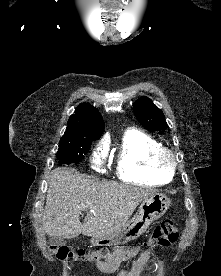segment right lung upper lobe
Returning <instances> with one entry per match:
<instances>
[{"label":"right lung upper lobe","mask_w":221,"mask_h":276,"mask_svg":"<svg viewBox=\"0 0 221 276\" xmlns=\"http://www.w3.org/2000/svg\"><path fill=\"white\" fill-rule=\"evenodd\" d=\"M65 134L60 141L97 140L100 138L104 123L97 109L87 103L78 105L75 113L69 117Z\"/></svg>","instance_id":"1"}]
</instances>
